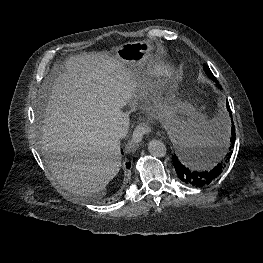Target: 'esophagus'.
<instances>
[{
	"mask_svg": "<svg viewBox=\"0 0 263 263\" xmlns=\"http://www.w3.org/2000/svg\"><path fill=\"white\" fill-rule=\"evenodd\" d=\"M151 132V127L148 123H140L136 126L133 131V136L131 142L133 144H138L142 141L144 135H148Z\"/></svg>",
	"mask_w": 263,
	"mask_h": 263,
	"instance_id": "1",
	"label": "esophagus"
}]
</instances>
